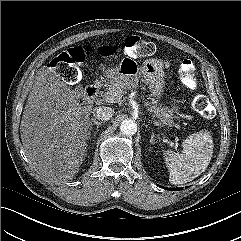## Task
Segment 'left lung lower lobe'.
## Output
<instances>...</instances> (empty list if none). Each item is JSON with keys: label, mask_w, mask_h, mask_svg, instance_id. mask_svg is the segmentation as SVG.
<instances>
[{"label": "left lung lower lobe", "mask_w": 241, "mask_h": 241, "mask_svg": "<svg viewBox=\"0 0 241 241\" xmlns=\"http://www.w3.org/2000/svg\"><path fill=\"white\" fill-rule=\"evenodd\" d=\"M165 189H167V190H173V191H174V190H177V189H170V188H165Z\"/></svg>", "instance_id": "obj_1"}]
</instances>
